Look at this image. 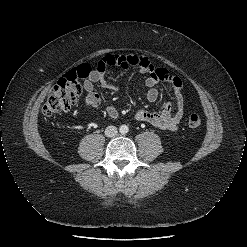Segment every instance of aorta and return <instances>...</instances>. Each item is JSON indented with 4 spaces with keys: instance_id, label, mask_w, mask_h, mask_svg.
Listing matches in <instances>:
<instances>
[{
    "instance_id": "1",
    "label": "aorta",
    "mask_w": 247,
    "mask_h": 247,
    "mask_svg": "<svg viewBox=\"0 0 247 247\" xmlns=\"http://www.w3.org/2000/svg\"><path fill=\"white\" fill-rule=\"evenodd\" d=\"M119 131H120L121 134H126V133H128L129 128H128L127 125H121L120 128H119Z\"/></svg>"
}]
</instances>
